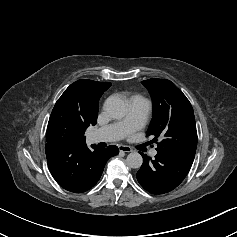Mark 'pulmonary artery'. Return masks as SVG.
<instances>
[{
  "mask_svg": "<svg viewBox=\"0 0 237 237\" xmlns=\"http://www.w3.org/2000/svg\"><path fill=\"white\" fill-rule=\"evenodd\" d=\"M151 104L141 96H133L129 100V109L126 117L120 121L94 130L90 134L93 143L111 142L122 139L127 134L141 129L146 122ZM157 151L153 149L151 155L155 156Z\"/></svg>",
  "mask_w": 237,
  "mask_h": 237,
  "instance_id": "e3ab8cb5",
  "label": "pulmonary artery"
}]
</instances>
